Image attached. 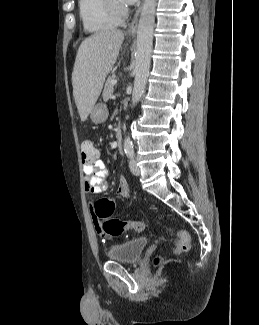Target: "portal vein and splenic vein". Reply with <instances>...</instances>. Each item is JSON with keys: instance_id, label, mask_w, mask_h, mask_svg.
<instances>
[{"instance_id": "1", "label": "portal vein and splenic vein", "mask_w": 259, "mask_h": 325, "mask_svg": "<svg viewBox=\"0 0 259 325\" xmlns=\"http://www.w3.org/2000/svg\"><path fill=\"white\" fill-rule=\"evenodd\" d=\"M117 83V80L116 79H113L112 81H111V84L112 85H115Z\"/></svg>"}]
</instances>
